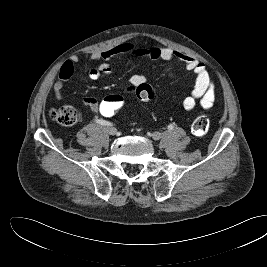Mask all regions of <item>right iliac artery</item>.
I'll use <instances>...</instances> for the list:
<instances>
[{"instance_id": "1", "label": "right iliac artery", "mask_w": 267, "mask_h": 267, "mask_svg": "<svg viewBox=\"0 0 267 267\" xmlns=\"http://www.w3.org/2000/svg\"><path fill=\"white\" fill-rule=\"evenodd\" d=\"M95 122L103 126H112L111 122L105 121L103 119H95Z\"/></svg>"}]
</instances>
